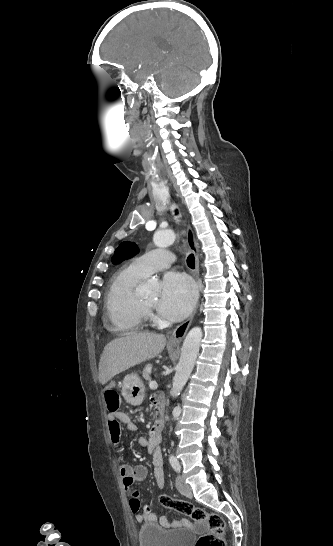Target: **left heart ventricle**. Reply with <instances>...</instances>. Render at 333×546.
Wrapping results in <instances>:
<instances>
[{
    "mask_svg": "<svg viewBox=\"0 0 333 546\" xmlns=\"http://www.w3.org/2000/svg\"><path fill=\"white\" fill-rule=\"evenodd\" d=\"M145 304L148 306L154 307L157 304V297H151V298H144L142 299Z\"/></svg>",
    "mask_w": 333,
    "mask_h": 546,
    "instance_id": "obj_1",
    "label": "left heart ventricle"
}]
</instances>
